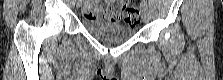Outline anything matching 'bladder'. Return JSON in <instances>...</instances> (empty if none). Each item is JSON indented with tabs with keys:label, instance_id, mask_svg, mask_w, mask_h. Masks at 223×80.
Returning <instances> with one entry per match:
<instances>
[{
	"label": "bladder",
	"instance_id": "1",
	"mask_svg": "<svg viewBox=\"0 0 223 80\" xmlns=\"http://www.w3.org/2000/svg\"><path fill=\"white\" fill-rule=\"evenodd\" d=\"M82 25L90 35L106 42L125 41L135 35L133 27L112 21L84 18Z\"/></svg>",
	"mask_w": 223,
	"mask_h": 80
}]
</instances>
